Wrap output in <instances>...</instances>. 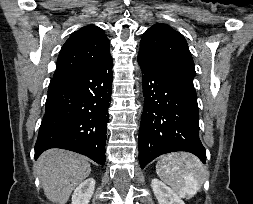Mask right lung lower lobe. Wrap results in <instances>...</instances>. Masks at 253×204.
Here are the masks:
<instances>
[{
	"label": "right lung lower lobe",
	"mask_w": 253,
	"mask_h": 204,
	"mask_svg": "<svg viewBox=\"0 0 253 204\" xmlns=\"http://www.w3.org/2000/svg\"><path fill=\"white\" fill-rule=\"evenodd\" d=\"M111 88L112 57L51 80L35 144V159L46 149L62 148L104 165Z\"/></svg>",
	"instance_id": "1"
}]
</instances>
